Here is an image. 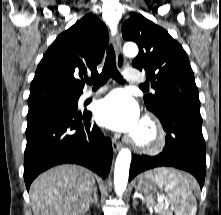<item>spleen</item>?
<instances>
[{
	"mask_svg": "<svg viewBox=\"0 0 221 215\" xmlns=\"http://www.w3.org/2000/svg\"><path fill=\"white\" fill-rule=\"evenodd\" d=\"M156 180L167 192L176 215L196 214L197 203L192 192L193 188L196 187V181L192 176L175 170L164 169L156 177ZM147 205L155 206V199L147 197Z\"/></svg>",
	"mask_w": 221,
	"mask_h": 215,
	"instance_id": "spleen-1",
	"label": "spleen"
}]
</instances>
